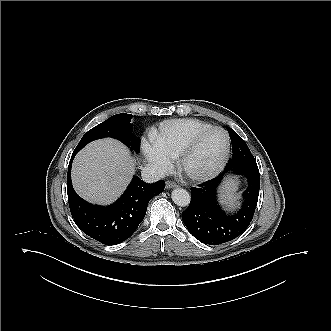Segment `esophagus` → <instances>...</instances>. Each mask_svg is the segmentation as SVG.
Instances as JSON below:
<instances>
[{
    "mask_svg": "<svg viewBox=\"0 0 331 331\" xmlns=\"http://www.w3.org/2000/svg\"><path fill=\"white\" fill-rule=\"evenodd\" d=\"M178 185L172 181H167L166 182V189H171V188H176Z\"/></svg>",
    "mask_w": 331,
    "mask_h": 331,
    "instance_id": "obj_1",
    "label": "esophagus"
}]
</instances>
